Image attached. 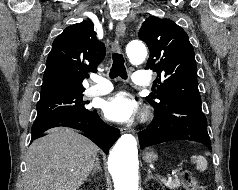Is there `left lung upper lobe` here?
<instances>
[{"label":"left lung upper lobe","mask_w":238,"mask_h":190,"mask_svg":"<svg viewBox=\"0 0 238 190\" xmlns=\"http://www.w3.org/2000/svg\"><path fill=\"white\" fill-rule=\"evenodd\" d=\"M138 36L150 50L146 69L158 74V90L146 101L154 109L180 102L201 103L195 54L187 33L169 19L150 16Z\"/></svg>","instance_id":"1"}]
</instances>
